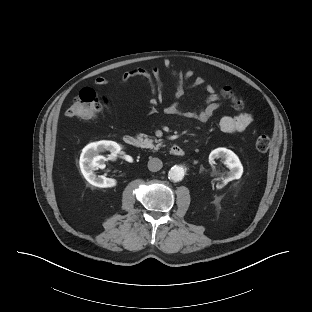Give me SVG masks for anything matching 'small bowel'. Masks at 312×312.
Listing matches in <instances>:
<instances>
[{"instance_id": "small-bowel-1", "label": "small bowel", "mask_w": 312, "mask_h": 312, "mask_svg": "<svg viewBox=\"0 0 312 312\" xmlns=\"http://www.w3.org/2000/svg\"><path fill=\"white\" fill-rule=\"evenodd\" d=\"M168 68L170 65L166 64ZM176 79V90L173 96V101L164 108V112L168 115H176L188 119L197 120L199 122H207L213 114L220 107V97L216 94L214 88L210 85H205L202 77L195 78L192 82V72H177L172 70ZM134 77H143L147 79L153 92L152 104L157 105L162 98L163 84L161 80V73L158 67L154 66L149 71L144 68H137L124 73L118 80V83L123 84ZM111 81L105 77H97L95 84L98 86L107 85ZM204 87L207 92V97L203 101V105L197 109H184L181 106V99L185 94L187 88ZM252 115L249 113H242L235 116L226 115L220 119L219 125L222 131L226 133H236L244 131L252 123Z\"/></svg>"}]
</instances>
